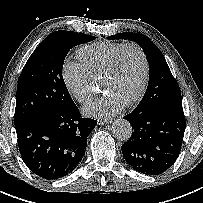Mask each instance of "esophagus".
<instances>
[{
	"instance_id": "esophagus-1",
	"label": "esophagus",
	"mask_w": 203,
	"mask_h": 203,
	"mask_svg": "<svg viewBox=\"0 0 203 203\" xmlns=\"http://www.w3.org/2000/svg\"><path fill=\"white\" fill-rule=\"evenodd\" d=\"M111 122H112V119H100V120H97L98 125H105V124H108V123H111Z\"/></svg>"
}]
</instances>
